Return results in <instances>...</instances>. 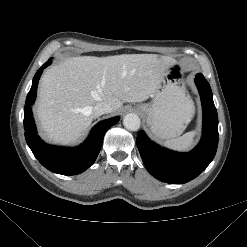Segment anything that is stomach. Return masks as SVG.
<instances>
[{
  "label": "stomach",
  "mask_w": 247,
  "mask_h": 247,
  "mask_svg": "<svg viewBox=\"0 0 247 247\" xmlns=\"http://www.w3.org/2000/svg\"><path fill=\"white\" fill-rule=\"evenodd\" d=\"M180 77L179 65H171L153 93L152 101L137 106L151 131L162 139L181 135L194 113L193 105L178 83Z\"/></svg>",
  "instance_id": "stomach-1"
}]
</instances>
